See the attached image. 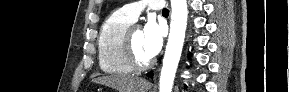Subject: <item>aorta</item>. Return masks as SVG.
Listing matches in <instances>:
<instances>
[{
    "instance_id": "762f6f07",
    "label": "aorta",
    "mask_w": 289,
    "mask_h": 92,
    "mask_svg": "<svg viewBox=\"0 0 289 92\" xmlns=\"http://www.w3.org/2000/svg\"><path fill=\"white\" fill-rule=\"evenodd\" d=\"M170 33L159 80V92H171L184 44L188 9L187 0H171Z\"/></svg>"
}]
</instances>
